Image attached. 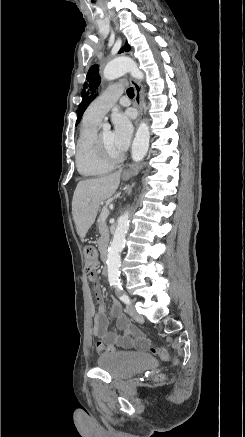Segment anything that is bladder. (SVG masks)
<instances>
[{"label": "bladder", "mask_w": 245, "mask_h": 437, "mask_svg": "<svg viewBox=\"0 0 245 437\" xmlns=\"http://www.w3.org/2000/svg\"><path fill=\"white\" fill-rule=\"evenodd\" d=\"M155 364L146 353L112 351L99 355L97 365L113 379L123 380L141 373Z\"/></svg>", "instance_id": "obj_1"}]
</instances>
